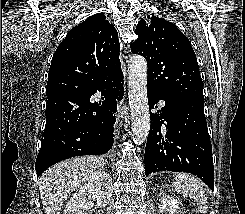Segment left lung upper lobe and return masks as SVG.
<instances>
[{"label":"left lung upper lobe","mask_w":245,"mask_h":214,"mask_svg":"<svg viewBox=\"0 0 245 214\" xmlns=\"http://www.w3.org/2000/svg\"><path fill=\"white\" fill-rule=\"evenodd\" d=\"M134 54L148 64L147 87L171 98L204 100L203 81L188 38L171 22L147 16L138 22Z\"/></svg>","instance_id":"obj_1"}]
</instances>
